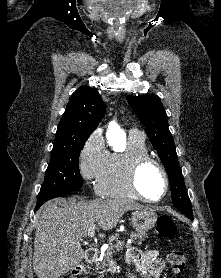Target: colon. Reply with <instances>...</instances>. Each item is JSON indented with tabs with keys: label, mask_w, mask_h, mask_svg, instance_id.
Returning a JSON list of instances; mask_svg holds the SVG:
<instances>
[{
	"label": "colon",
	"mask_w": 221,
	"mask_h": 278,
	"mask_svg": "<svg viewBox=\"0 0 221 278\" xmlns=\"http://www.w3.org/2000/svg\"><path fill=\"white\" fill-rule=\"evenodd\" d=\"M156 233L161 238L174 237L176 235L175 223L168 216H160L157 220ZM168 258L172 273H182L186 266V257L184 253L181 250L173 249L168 251Z\"/></svg>",
	"instance_id": "colon-1"
}]
</instances>
